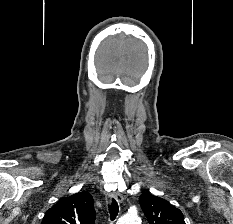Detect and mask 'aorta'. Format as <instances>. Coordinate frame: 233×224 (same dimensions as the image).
<instances>
[{
  "mask_svg": "<svg viewBox=\"0 0 233 224\" xmlns=\"http://www.w3.org/2000/svg\"><path fill=\"white\" fill-rule=\"evenodd\" d=\"M117 224H141V219L136 214H126L118 220Z\"/></svg>",
  "mask_w": 233,
  "mask_h": 224,
  "instance_id": "762f6f07",
  "label": "aorta"
}]
</instances>
